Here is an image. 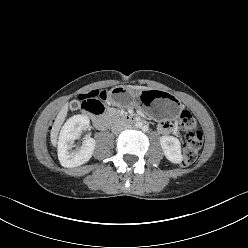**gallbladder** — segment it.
<instances>
[{"mask_svg": "<svg viewBox=\"0 0 248 248\" xmlns=\"http://www.w3.org/2000/svg\"><path fill=\"white\" fill-rule=\"evenodd\" d=\"M73 107L78 108L79 107V102L78 101H73L72 102Z\"/></svg>", "mask_w": 248, "mask_h": 248, "instance_id": "obj_1", "label": "gallbladder"}]
</instances>
